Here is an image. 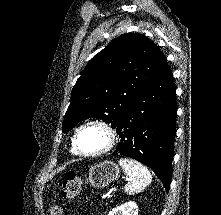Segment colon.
I'll return each mask as SVG.
<instances>
[{
  "mask_svg": "<svg viewBox=\"0 0 221 215\" xmlns=\"http://www.w3.org/2000/svg\"><path fill=\"white\" fill-rule=\"evenodd\" d=\"M81 187V179L75 171H68L65 174L61 187V195L64 199L72 200L77 197ZM49 215H65L63 206L59 204L51 205Z\"/></svg>",
  "mask_w": 221,
  "mask_h": 215,
  "instance_id": "1",
  "label": "colon"
}]
</instances>
